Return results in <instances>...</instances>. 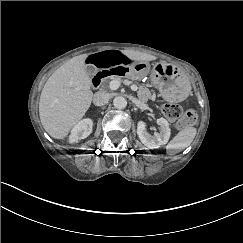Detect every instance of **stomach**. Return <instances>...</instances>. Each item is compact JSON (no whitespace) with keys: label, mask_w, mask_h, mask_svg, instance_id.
I'll return each instance as SVG.
<instances>
[{"label":"stomach","mask_w":243,"mask_h":243,"mask_svg":"<svg viewBox=\"0 0 243 243\" xmlns=\"http://www.w3.org/2000/svg\"><path fill=\"white\" fill-rule=\"evenodd\" d=\"M130 73L134 79L149 75L151 85L169 102L183 101L191 90L187 76L164 62L156 63L152 68L147 62H137L131 66Z\"/></svg>","instance_id":"obj_1"}]
</instances>
